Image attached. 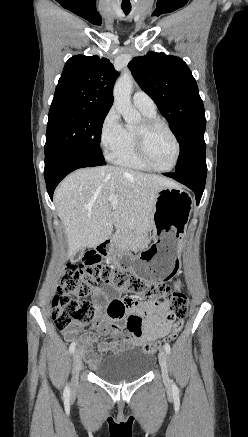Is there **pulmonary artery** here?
I'll list each match as a JSON object with an SVG mask.
<instances>
[{
    "label": "pulmonary artery",
    "instance_id": "obj_1",
    "mask_svg": "<svg viewBox=\"0 0 248 437\" xmlns=\"http://www.w3.org/2000/svg\"><path fill=\"white\" fill-rule=\"evenodd\" d=\"M132 100H133L134 105L139 110H144L147 112H155V110H156V105H155L154 101L152 100V98L148 94H146L145 92H143L141 90L136 91L133 94Z\"/></svg>",
    "mask_w": 248,
    "mask_h": 437
}]
</instances>
